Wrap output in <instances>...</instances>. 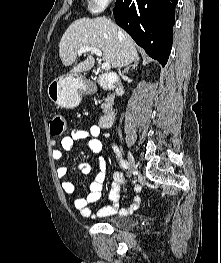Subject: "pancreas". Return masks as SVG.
I'll list each match as a JSON object with an SVG mask.
<instances>
[{"label": "pancreas", "mask_w": 221, "mask_h": 263, "mask_svg": "<svg viewBox=\"0 0 221 263\" xmlns=\"http://www.w3.org/2000/svg\"><path fill=\"white\" fill-rule=\"evenodd\" d=\"M109 98H110V97H108L107 100H108ZM104 107H105V104L102 105V108H104Z\"/></svg>", "instance_id": "cf45deb5"}]
</instances>
